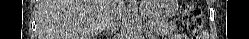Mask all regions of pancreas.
Instances as JSON below:
<instances>
[{
	"label": "pancreas",
	"instance_id": "cf45deb5",
	"mask_svg": "<svg viewBox=\"0 0 249 39\" xmlns=\"http://www.w3.org/2000/svg\"><path fill=\"white\" fill-rule=\"evenodd\" d=\"M150 29L156 34L166 35L173 33L176 30V26L165 21L153 20Z\"/></svg>",
	"mask_w": 249,
	"mask_h": 39
}]
</instances>
